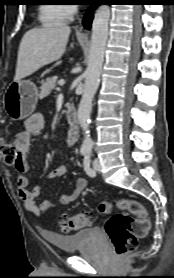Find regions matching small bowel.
<instances>
[{"label": "small bowel", "instance_id": "obj_1", "mask_svg": "<svg viewBox=\"0 0 174 278\" xmlns=\"http://www.w3.org/2000/svg\"><path fill=\"white\" fill-rule=\"evenodd\" d=\"M45 125L44 117L40 113H35L24 122L25 130L17 134L14 138V148L16 151V159L13 163L17 172L18 195L24 202L26 209L35 215H41L42 212L52 210L56 207V203L52 200H44L40 206L37 200L41 197L43 189L41 185L35 186L32 190H28V162L27 157L33 148L35 137L40 135ZM67 172V166L61 165L55 168L48 176L49 179H57ZM88 185V179L80 177L77 179L75 188L69 193H65L60 197V203L68 205L75 201Z\"/></svg>", "mask_w": 174, "mask_h": 278}]
</instances>
